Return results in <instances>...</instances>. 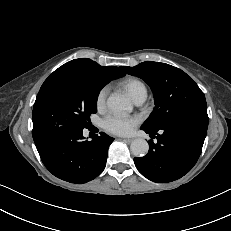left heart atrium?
Segmentation results:
<instances>
[{"instance_id":"obj_1","label":"left heart atrium","mask_w":231,"mask_h":231,"mask_svg":"<svg viewBox=\"0 0 231 231\" xmlns=\"http://www.w3.org/2000/svg\"><path fill=\"white\" fill-rule=\"evenodd\" d=\"M138 122L139 120L136 117L112 114L106 117L103 125L107 131L113 134L127 135L133 131Z\"/></svg>"}]
</instances>
